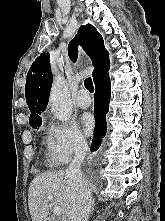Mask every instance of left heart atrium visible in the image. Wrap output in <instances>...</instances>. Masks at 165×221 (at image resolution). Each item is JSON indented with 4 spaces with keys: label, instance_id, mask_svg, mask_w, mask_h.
Segmentation results:
<instances>
[{
    "label": "left heart atrium",
    "instance_id": "obj_1",
    "mask_svg": "<svg viewBox=\"0 0 165 221\" xmlns=\"http://www.w3.org/2000/svg\"><path fill=\"white\" fill-rule=\"evenodd\" d=\"M81 124L86 134H92L95 127V120L89 113H85L81 118Z\"/></svg>",
    "mask_w": 165,
    "mask_h": 221
}]
</instances>
